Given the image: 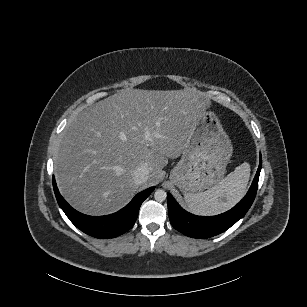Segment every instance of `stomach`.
<instances>
[{
	"label": "stomach",
	"mask_w": 307,
	"mask_h": 307,
	"mask_svg": "<svg viewBox=\"0 0 307 307\" xmlns=\"http://www.w3.org/2000/svg\"><path fill=\"white\" fill-rule=\"evenodd\" d=\"M231 140L211 111H203L195 120L186 140L182 157L171 170L170 180L183 193H198L220 182L232 156Z\"/></svg>",
	"instance_id": "stomach-1"
}]
</instances>
